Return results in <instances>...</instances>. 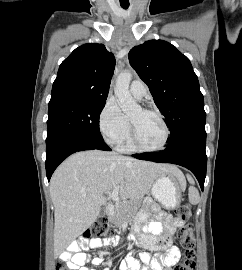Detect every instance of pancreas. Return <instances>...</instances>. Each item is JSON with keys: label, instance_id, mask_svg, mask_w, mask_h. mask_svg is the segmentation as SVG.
<instances>
[{"label": "pancreas", "instance_id": "pancreas-1", "mask_svg": "<svg viewBox=\"0 0 242 270\" xmlns=\"http://www.w3.org/2000/svg\"><path fill=\"white\" fill-rule=\"evenodd\" d=\"M139 206L140 204L137 202L121 203L115 207L113 214L108 217V220L116 227H120L126 221H132Z\"/></svg>", "mask_w": 242, "mask_h": 270}]
</instances>
